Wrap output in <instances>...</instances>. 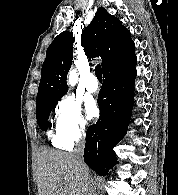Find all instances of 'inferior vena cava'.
<instances>
[{
	"label": "inferior vena cava",
	"instance_id": "1",
	"mask_svg": "<svg viewBox=\"0 0 178 195\" xmlns=\"http://www.w3.org/2000/svg\"><path fill=\"white\" fill-rule=\"evenodd\" d=\"M85 146V138L84 136L80 137L76 141V146L72 152L77 165L79 167L80 172L89 179V195H96L95 184L90 176L89 169L83 161V150Z\"/></svg>",
	"mask_w": 178,
	"mask_h": 195
}]
</instances>
